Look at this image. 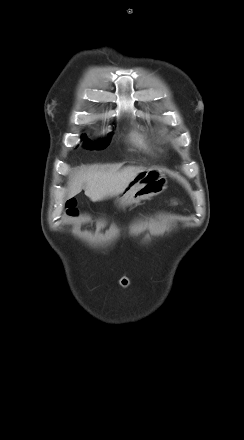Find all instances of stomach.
Returning a JSON list of instances; mask_svg holds the SVG:
<instances>
[{
	"instance_id": "stomach-1",
	"label": "stomach",
	"mask_w": 244,
	"mask_h": 440,
	"mask_svg": "<svg viewBox=\"0 0 244 440\" xmlns=\"http://www.w3.org/2000/svg\"><path fill=\"white\" fill-rule=\"evenodd\" d=\"M167 179L156 168L142 169L117 196L116 203L125 207L150 199L166 189Z\"/></svg>"
}]
</instances>
